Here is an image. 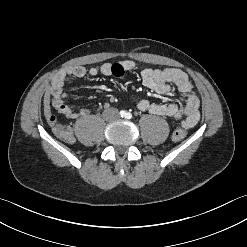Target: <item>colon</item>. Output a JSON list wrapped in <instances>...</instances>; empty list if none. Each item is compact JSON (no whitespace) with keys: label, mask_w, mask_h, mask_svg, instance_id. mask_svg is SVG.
Segmentation results:
<instances>
[{"label":"colon","mask_w":247,"mask_h":247,"mask_svg":"<svg viewBox=\"0 0 247 247\" xmlns=\"http://www.w3.org/2000/svg\"><path fill=\"white\" fill-rule=\"evenodd\" d=\"M123 75H124V71L118 65H115L114 66V76L121 77ZM129 101L132 104L145 103L146 102V97L142 96L140 94H137V93H132L129 96ZM49 122L53 127L54 134L58 138H60V139H62L64 141H67V142L73 141V134H72V131H71L70 127L67 126V125L60 124L59 120H58V117L56 115L51 114L49 116ZM186 136H187L186 129L177 128V129L174 130V132L172 134V139L175 142H179V141H182L183 139H185Z\"/></svg>","instance_id":"colon-1"}]
</instances>
